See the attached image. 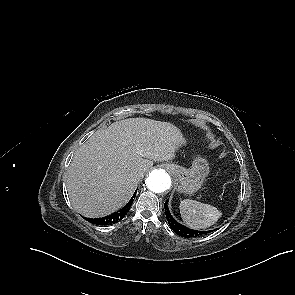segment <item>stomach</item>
<instances>
[{
  "label": "stomach",
  "mask_w": 295,
  "mask_h": 295,
  "mask_svg": "<svg viewBox=\"0 0 295 295\" xmlns=\"http://www.w3.org/2000/svg\"><path fill=\"white\" fill-rule=\"evenodd\" d=\"M169 169L175 178L176 190L179 193L192 194L199 190L209 173V164L201 156H197L190 168L170 164Z\"/></svg>",
  "instance_id": "obj_1"
}]
</instances>
